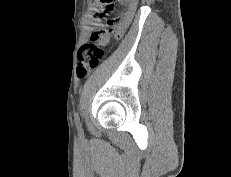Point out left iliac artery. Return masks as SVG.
I'll use <instances>...</instances> for the list:
<instances>
[{"label":"left iliac artery","instance_id":"44dca946","mask_svg":"<svg viewBox=\"0 0 231 177\" xmlns=\"http://www.w3.org/2000/svg\"><path fill=\"white\" fill-rule=\"evenodd\" d=\"M75 121H76L78 130L81 131L82 130L81 129V124H80L79 115H78L77 112L75 113Z\"/></svg>","mask_w":231,"mask_h":177}]
</instances>
